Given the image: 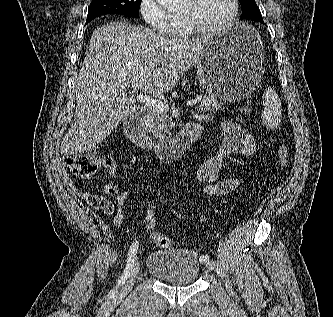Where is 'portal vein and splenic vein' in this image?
Returning <instances> with one entry per match:
<instances>
[{"label":"portal vein and splenic vein","mask_w":333,"mask_h":317,"mask_svg":"<svg viewBox=\"0 0 333 317\" xmlns=\"http://www.w3.org/2000/svg\"><path fill=\"white\" fill-rule=\"evenodd\" d=\"M136 87L137 86H132L133 92L136 91ZM137 100L140 103H142V104H144V105H146L150 108L156 109L159 112L167 113L169 111V106L165 102H163L159 99L153 98L151 96L144 95V94H139L137 96ZM199 100H201V97H197L193 100L188 101L187 105L188 106L196 105Z\"/></svg>","instance_id":"18ae733b"}]
</instances>
